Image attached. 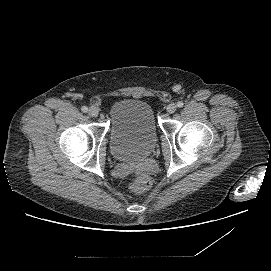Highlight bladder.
I'll list each match as a JSON object with an SVG mask.
<instances>
[{"label":"bladder","mask_w":271,"mask_h":271,"mask_svg":"<svg viewBox=\"0 0 271 271\" xmlns=\"http://www.w3.org/2000/svg\"><path fill=\"white\" fill-rule=\"evenodd\" d=\"M110 151L123 162L144 160L157 141L151 106L141 100L124 99L110 108Z\"/></svg>","instance_id":"1"}]
</instances>
